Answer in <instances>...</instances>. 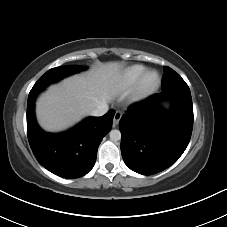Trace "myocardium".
<instances>
[{
  "mask_svg": "<svg viewBox=\"0 0 227 227\" xmlns=\"http://www.w3.org/2000/svg\"><path fill=\"white\" fill-rule=\"evenodd\" d=\"M150 75L155 76V80L152 83H148V77ZM161 84V76L156 70H146L140 77L136 84L132 99L134 101L142 100L152 93H154Z\"/></svg>",
  "mask_w": 227,
  "mask_h": 227,
  "instance_id": "myocardium-1",
  "label": "myocardium"
}]
</instances>
